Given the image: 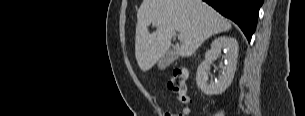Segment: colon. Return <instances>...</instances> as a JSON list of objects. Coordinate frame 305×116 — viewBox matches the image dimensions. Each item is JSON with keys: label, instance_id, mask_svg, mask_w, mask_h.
Masks as SVG:
<instances>
[{"label": "colon", "instance_id": "colon-1", "mask_svg": "<svg viewBox=\"0 0 305 116\" xmlns=\"http://www.w3.org/2000/svg\"><path fill=\"white\" fill-rule=\"evenodd\" d=\"M188 77V70L186 68L176 69L169 82V88L176 93L178 101L184 106L182 112L175 114L166 112L163 116H186L189 113L187 104L189 103V97L187 94L186 80Z\"/></svg>", "mask_w": 305, "mask_h": 116}]
</instances>
